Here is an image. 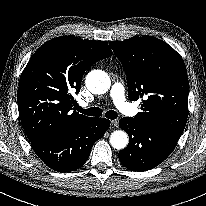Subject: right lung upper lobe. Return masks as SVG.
Returning a JSON list of instances; mask_svg holds the SVG:
<instances>
[{
  "label": "right lung upper lobe",
  "mask_w": 206,
  "mask_h": 206,
  "mask_svg": "<svg viewBox=\"0 0 206 206\" xmlns=\"http://www.w3.org/2000/svg\"><path fill=\"white\" fill-rule=\"evenodd\" d=\"M112 56L107 42L62 36L44 43L30 58L19 82L20 119L30 142L68 133L90 118L72 111L71 92L84 72Z\"/></svg>",
  "instance_id": "obj_1"
}]
</instances>
